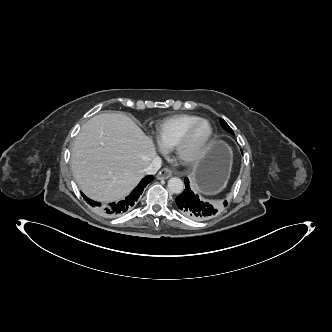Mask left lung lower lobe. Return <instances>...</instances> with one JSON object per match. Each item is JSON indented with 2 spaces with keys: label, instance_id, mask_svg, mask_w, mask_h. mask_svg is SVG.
<instances>
[{
  "label": "left lung lower lobe",
  "instance_id": "obj_1",
  "mask_svg": "<svg viewBox=\"0 0 332 332\" xmlns=\"http://www.w3.org/2000/svg\"><path fill=\"white\" fill-rule=\"evenodd\" d=\"M185 190L175 199L180 211L187 217L197 220L205 221L213 218L217 212V206L206 202L198 194L194 193L190 186L189 180L185 178ZM227 205V202H224Z\"/></svg>",
  "mask_w": 332,
  "mask_h": 332
}]
</instances>
